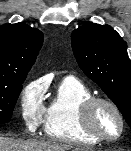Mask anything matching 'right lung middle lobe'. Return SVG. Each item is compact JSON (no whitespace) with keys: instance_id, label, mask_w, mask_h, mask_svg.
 <instances>
[{"instance_id":"1","label":"right lung middle lobe","mask_w":131,"mask_h":151,"mask_svg":"<svg viewBox=\"0 0 131 151\" xmlns=\"http://www.w3.org/2000/svg\"><path fill=\"white\" fill-rule=\"evenodd\" d=\"M24 80L25 78L19 80L0 79V124L10 121Z\"/></svg>"}]
</instances>
